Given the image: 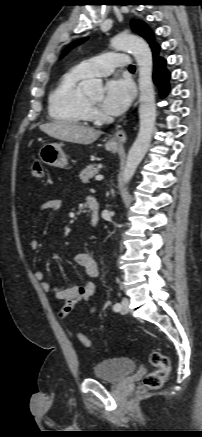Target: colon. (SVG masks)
<instances>
[{"label": "colon", "mask_w": 202, "mask_h": 437, "mask_svg": "<svg viewBox=\"0 0 202 437\" xmlns=\"http://www.w3.org/2000/svg\"><path fill=\"white\" fill-rule=\"evenodd\" d=\"M30 174L33 178L41 179L44 176V167L40 160L33 159L30 165ZM79 342L87 347L92 348L93 345L89 338L82 333H77ZM150 363L155 367V370L149 372L143 379L141 391L158 389L162 386L164 380L170 372L169 358L160 353L153 352L150 355Z\"/></svg>", "instance_id": "1"}]
</instances>
